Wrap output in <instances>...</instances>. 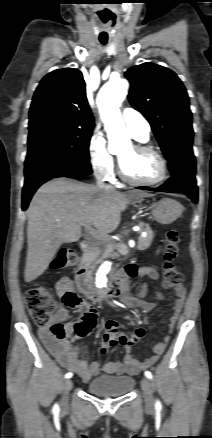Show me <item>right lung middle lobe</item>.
I'll return each instance as SVG.
<instances>
[{
  "label": "right lung middle lobe",
  "mask_w": 212,
  "mask_h": 438,
  "mask_svg": "<svg viewBox=\"0 0 212 438\" xmlns=\"http://www.w3.org/2000/svg\"><path fill=\"white\" fill-rule=\"evenodd\" d=\"M91 130L48 126L30 130L26 159L89 162Z\"/></svg>",
  "instance_id": "right-lung-middle-lobe-1"
}]
</instances>
